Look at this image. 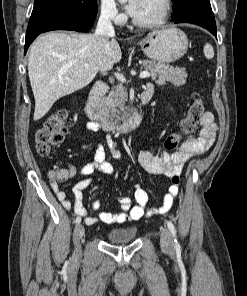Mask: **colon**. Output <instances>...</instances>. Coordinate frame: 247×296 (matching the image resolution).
<instances>
[{"label": "colon", "mask_w": 247, "mask_h": 296, "mask_svg": "<svg viewBox=\"0 0 247 296\" xmlns=\"http://www.w3.org/2000/svg\"><path fill=\"white\" fill-rule=\"evenodd\" d=\"M203 114L204 104L201 99L196 98L189 106L185 117L181 120L180 130L166 138L164 142L165 149L168 151L175 150L179 146L182 136L195 131ZM70 126L68 114L65 111H59L47 118L35 135L37 153L42 157L49 156L55 148L60 146ZM51 177L53 183H56L65 180L68 176L65 170L55 169L52 171ZM173 182L179 184V177L175 176Z\"/></svg>", "instance_id": "obj_1"}]
</instances>
